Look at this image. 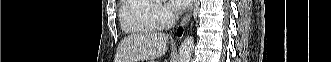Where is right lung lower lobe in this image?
I'll use <instances>...</instances> for the list:
<instances>
[{
	"mask_svg": "<svg viewBox=\"0 0 331 62\" xmlns=\"http://www.w3.org/2000/svg\"><path fill=\"white\" fill-rule=\"evenodd\" d=\"M182 32H183L182 28H179L177 31L178 36H181Z\"/></svg>",
	"mask_w": 331,
	"mask_h": 62,
	"instance_id": "obj_1",
	"label": "right lung lower lobe"
}]
</instances>
